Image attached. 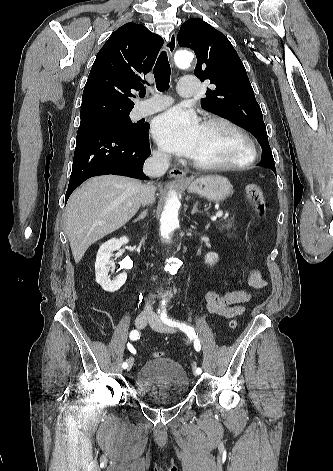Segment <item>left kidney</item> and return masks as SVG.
<instances>
[{"label": "left kidney", "instance_id": "obj_1", "mask_svg": "<svg viewBox=\"0 0 333 471\" xmlns=\"http://www.w3.org/2000/svg\"><path fill=\"white\" fill-rule=\"evenodd\" d=\"M218 260V254L215 252H209L205 255V263L213 265Z\"/></svg>", "mask_w": 333, "mask_h": 471}]
</instances>
